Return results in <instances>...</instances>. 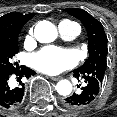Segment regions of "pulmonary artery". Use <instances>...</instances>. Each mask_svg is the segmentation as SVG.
I'll return each mask as SVG.
<instances>
[{
  "mask_svg": "<svg viewBox=\"0 0 117 117\" xmlns=\"http://www.w3.org/2000/svg\"><path fill=\"white\" fill-rule=\"evenodd\" d=\"M58 28L61 37L65 40H72L80 33V26L69 21L61 22Z\"/></svg>",
  "mask_w": 117,
  "mask_h": 117,
  "instance_id": "1",
  "label": "pulmonary artery"
}]
</instances>
